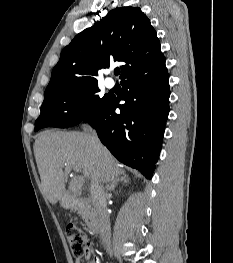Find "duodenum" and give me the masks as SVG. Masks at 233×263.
<instances>
[{"label":"duodenum","instance_id":"1","mask_svg":"<svg viewBox=\"0 0 233 263\" xmlns=\"http://www.w3.org/2000/svg\"><path fill=\"white\" fill-rule=\"evenodd\" d=\"M64 202L70 209H85L90 231L96 236L99 235L101 231V224L98 215L96 212L87 208L86 202L83 199L65 195Z\"/></svg>","mask_w":233,"mask_h":263}]
</instances>
